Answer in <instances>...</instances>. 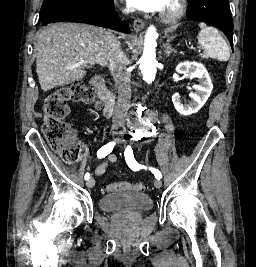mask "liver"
<instances>
[{
	"instance_id": "obj_1",
	"label": "liver",
	"mask_w": 256,
	"mask_h": 267,
	"mask_svg": "<svg viewBox=\"0 0 256 267\" xmlns=\"http://www.w3.org/2000/svg\"><path fill=\"white\" fill-rule=\"evenodd\" d=\"M109 32L88 24H50L37 40L36 72L43 92L82 80L86 68L108 66ZM113 38V36H112Z\"/></svg>"
}]
</instances>
